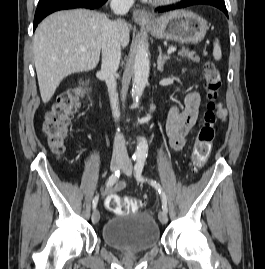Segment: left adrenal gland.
I'll use <instances>...</instances> for the list:
<instances>
[{
  "instance_id": "left-adrenal-gland-1",
  "label": "left adrenal gland",
  "mask_w": 265,
  "mask_h": 269,
  "mask_svg": "<svg viewBox=\"0 0 265 269\" xmlns=\"http://www.w3.org/2000/svg\"><path fill=\"white\" fill-rule=\"evenodd\" d=\"M169 59H170L169 55H162L161 48L159 47V56H158V59H157V68H158V70H160L162 72L165 62L168 61Z\"/></svg>"
}]
</instances>
